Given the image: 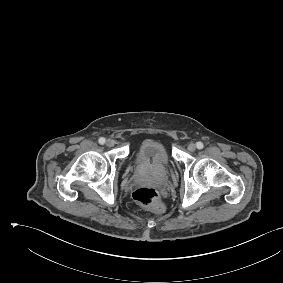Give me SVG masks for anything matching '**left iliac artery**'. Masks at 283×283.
Returning a JSON list of instances; mask_svg holds the SVG:
<instances>
[{
  "label": "left iliac artery",
  "mask_w": 283,
  "mask_h": 283,
  "mask_svg": "<svg viewBox=\"0 0 283 283\" xmlns=\"http://www.w3.org/2000/svg\"><path fill=\"white\" fill-rule=\"evenodd\" d=\"M196 147H197L198 149H202V148L204 147V145H203L202 142H197V143H196Z\"/></svg>",
  "instance_id": "left-iliac-artery-1"
}]
</instances>
